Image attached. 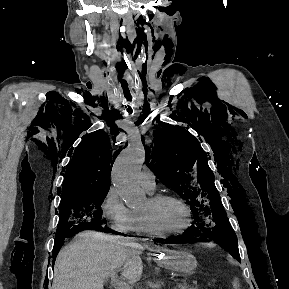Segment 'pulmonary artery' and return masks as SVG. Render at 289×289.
<instances>
[{
    "label": "pulmonary artery",
    "instance_id": "e3ab8cb5",
    "mask_svg": "<svg viewBox=\"0 0 289 289\" xmlns=\"http://www.w3.org/2000/svg\"><path fill=\"white\" fill-rule=\"evenodd\" d=\"M139 183L140 185L146 189L149 193H152L156 187V179L155 175L151 170L145 168L139 175Z\"/></svg>",
    "mask_w": 289,
    "mask_h": 289
}]
</instances>
